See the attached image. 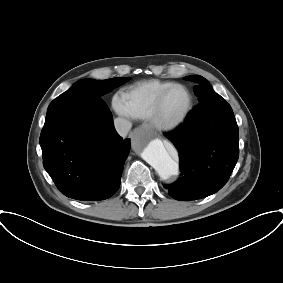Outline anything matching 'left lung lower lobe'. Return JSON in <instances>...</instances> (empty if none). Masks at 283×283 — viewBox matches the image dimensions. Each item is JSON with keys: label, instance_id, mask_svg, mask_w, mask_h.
<instances>
[{"label": "left lung lower lobe", "instance_id": "0a47b994", "mask_svg": "<svg viewBox=\"0 0 283 283\" xmlns=\"http://www.w3.org/2000/svg\"><path fill=\"white\" fill-rule=\"evenodd\" d=\"M233 111L219 95L188 113L184 122L165 136L179 152L180 178L167 185L176 200H195L220 190L228 181L239 157V137L221 133Z\"/></svg>", "mask_w": 283, "mask_h": 283}]
</instances>
